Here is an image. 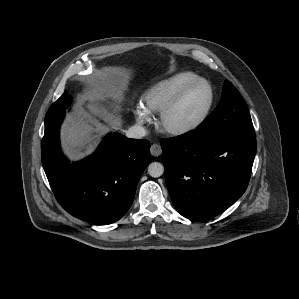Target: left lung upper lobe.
Masks as SVG:
<instances>
[{"mask_svg":"<svg viewBox=\"0 0 299 299\" xmlns=\"http://www.w3.org/2000/svg\"><path fill=\"white\" fill-rule=\"evenodd\" d=\"M196 130L208 134L254 132L247 104L230 81L225 80L219 104Z\"/></svg>","mask_w":299,"mask_h":299,"instance_id":"5c2ea615","label":"left lung upper lobe"}]
</instances>
